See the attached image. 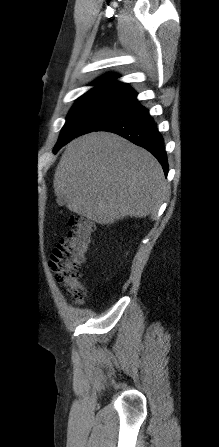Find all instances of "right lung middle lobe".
Instances as JSON below:
<instances>
[{"label":"right lung middle lobe","mask_w":219,"mask_h":447,"mask_svg":"<svg viewBox=\"0 0 219 447\" xmlns=\"http://www.w3.org/2000/svg\"><path fill=\"white\" fill-rule=\"evenodd\" d=\"M139 106L136 98L113 89L90 90L79 97L71 108L54 150L58 151L75 137L96 131Z\"/></svg>","instance_id":"dd1d6c3e"}]
</instances>
